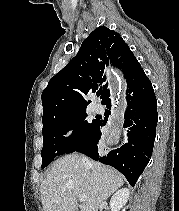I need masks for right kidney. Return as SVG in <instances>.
Instances as JSON below:
<instances>
[{"instance_id": "1", "label": "right kidney", "mask_w": 179, "mask_h": 211, "mask_svg": "<svg viewBox=\"0 0 179 211\" xmlns=\"http://www.w3.org/2000/svg\"><path fill=\"white\" fill-rule=\"evenodd\" d=\"M129 196L130 191L127 188H123L115 192L110 199L111 211H120L121 208L127 203Z\"/></svg>"}]
</instances>
